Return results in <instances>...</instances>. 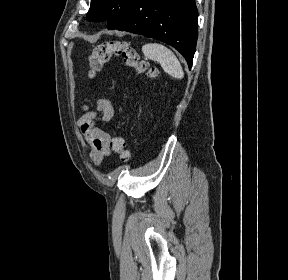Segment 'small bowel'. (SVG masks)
Returning a JSON list of instances; mask_svg holds the SVG:
<instances>
[{"label": "small bowel", "mask_w": 288, "mask_h": 280, "mask_svg": "<svg viewBox=\"0 0 288 280\" xmlns=\"http://www.w3.org/2000/svg\"><path fill=\"white\" fill-rule=\"evenodd\" d=\"M97 110L99 114L85 108L78 125L90 147V158L96 165H100L111 152V137L96 125L97 123L100 125L108 124L114 117L115 109L111 100L100 98L97 100Z\"/></svg>", "instance_id": "1"}]
</instances>
